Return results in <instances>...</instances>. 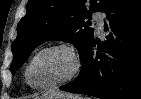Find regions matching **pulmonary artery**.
<instances>
[{
  "instance_id": "e3ab8cb5",
  "label": "pulmonary artery",
  "mask_w": 141,
  "mask_h": 99,
  "mask_svg": "<svg viewBox=\"0 0 141 99\" xmlns=\"http://www.w3.org/2000/svg\"><path fill=\"white\" fill-rule=\"evenodd\" d=\"M93 20L96 23V29L99 33L103 32V15L99 12L95 13L93 16Z\"/></svg>"
}]
</instances>
